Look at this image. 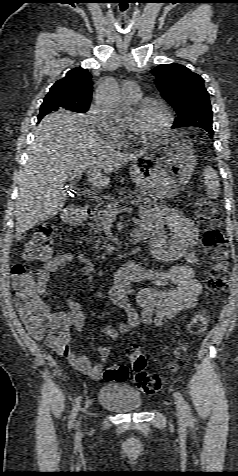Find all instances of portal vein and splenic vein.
Returning a JSON list of instances; mask_svg holds the SVG:
<instances>
[{
	"mask_svg": "<svg viewBox=\"0 0 238 476\" xmlns=\"http://www.w3.org/2000/svg\"><path fill=\"white\" fill-rule=\"evenodd\" d=\"M81 178V174H77L75 176H73L71 179H76V180H79ZM133 211V208L132 207H125V208H121V209H108V210H105L104 213H103V218L104 220H107V221H112L115 219L116 215L118 213H121V212H131Z\"/></svg>",
	"mask_w": 238,
	"mask_h": 476,
	"instance_id": "obj_1",
	"label": "portal vein and splenic vein"
}]
</instances>
